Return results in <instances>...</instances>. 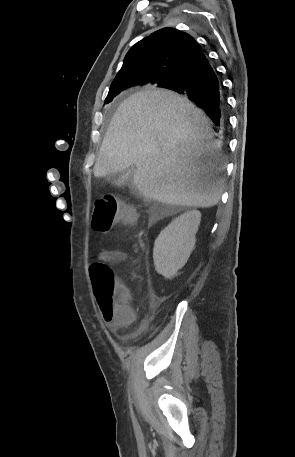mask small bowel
Here are the masks:
<instances>
[{"instance_id":"c3829d8e","label":"small bowel","mask_w":295,"mask_h":457,"mask_svg":"<svg viewBox=\"0 0 295 457\" xmlns=\"http://www.w3.org/2000/svg\"><path fill=\"white\" fill-rule=\"evenodd\" d=\"M126 258V254L121 251H104L100 254V259L110 264H116ZM129 319L128 320H118L115 318L112 319H105L107 324L113 329L118 330L121 327L125 326L126 324L130 323L134 319V313L129 308L128 311Z\"/></svg>"}]
</instances>
